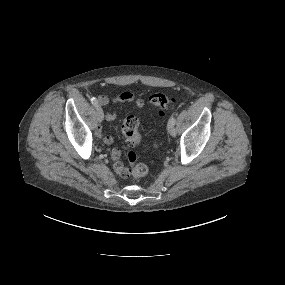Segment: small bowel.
Returning <instances> with one entry per match:
<instances>
[{"instance_id": "obj_1", "label": "small bowel", "mask_w": 285, "mask_h": 285, "mask_svg": "<svg viewBox=\"0 0 285 285\" xmlns=\"http://www.w3.org/2000/svg\"><path fill=\"white\" fill-rule=\"evenodd\" d=\"M98 101L100 105L102 106H110L113 105L115 108H118L119 106L133 102L135 104V107L138 110H141L145 106V102L142 98L136 97L132 92L130 91H122L116 94L113 98H109L107 96H99ZM117 117V110L108 111L105 114V119L108 121H112ZM100 137L104 140L106 144H112L113 138L106 133L99 132ZM120 150L117 148H114L112 150V162H113V168L117 175H119L122 178H126L129 175V169L124 166V164L120 160Z\"/></svg>"}]
</instances>
